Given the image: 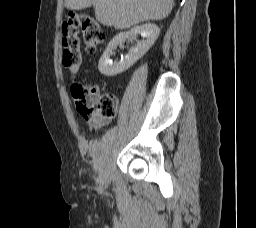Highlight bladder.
<instances>
[{
	"label": "bladder",
	"mask_w": 256,
	"mask_h": 228,
	"mask_svg": "<svg viewBox=\"0 0 256 228\" xmlns=\"http://www.w3.org/2000/svg\"><path fill=\"white\" fill-rule=\"evenodd\" d=\"M118 147L116 138L113 136H105L97 140L92 146V154L97 165H103Z\"/></svg>",
	"instance_id": "bladder-1"
}]
</instances>
